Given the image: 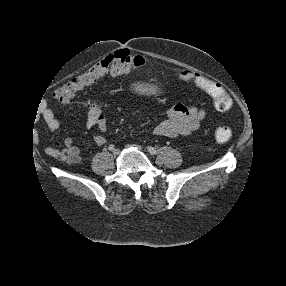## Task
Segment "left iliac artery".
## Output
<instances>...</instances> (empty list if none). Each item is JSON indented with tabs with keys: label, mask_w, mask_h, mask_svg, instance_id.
<instances>
[{
	"label": "left iliac artery",
	"mask_w": 286,
	"mask_h": 286,
	"mask_svg": "<svg viewBox=\"0 0 286 286\" xmlns=\"http://www.w3.org/2000/svg\"><path fill=\"white\" fill-rule=\"evenodd\" d=\"M147 150L151 155H155L157 153L156 149L152 146H147Z\"/></svg>",
	"instance_id": "44dca946"
}]
</instances>
